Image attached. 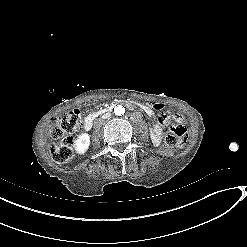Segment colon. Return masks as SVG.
Instances as JSON below:
<instances>
[{
  "mask_svg": "<svg viewBox=\"0 0 247 247\" xmlns=\"http://www.w3.org/2000/svg\"><path fill=\"white\" fill-rule=\"evenodd\" d=\"M153 108L160 111L164 108L162 101H155ZM82 112L75 109L72 112L59 116L52 121L50 136L55 142L50 144V152L54 161L65 164L73 158V133L82 123ZM188 133L184 124H176L165 135L164 143L167 148L174 149L187 143Z\"/></svg>",
  "mask_w": 247,
  "mask_h": 247,
  "instance_id": "obj_1",
  "label": "colon"
}]
</instances>
